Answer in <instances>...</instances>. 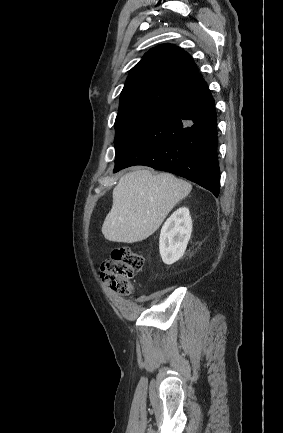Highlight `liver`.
<instances>
[{"mask_svg": "<svg viewBox=\"0 0 283 433\" xmlns=\"http://www.w3.org/2000/svg\"><path fill=\"white\" fill-rule=\"evenodd\" d=\"M191 188L189 182L169 172L152 174L137 168L123 174L113 188L112 208L103 223L105 239L114 243L144 241Z\"/></svg>", "mask_w": 283, "mask_h": 433, "instance_id": "1", "label": "liver"}]
</instances>
